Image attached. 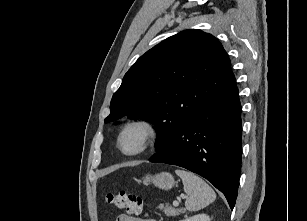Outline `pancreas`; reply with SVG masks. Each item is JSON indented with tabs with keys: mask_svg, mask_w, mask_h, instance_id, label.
<instances>
[{
	"mask_svg": "<svg viewBox=\"0 0 307 221\" xmlns=\"http://www.w3.org/2000/svg\"><path fill=\"white\" fill-rule=\"evenodd\" d=\"M159 209L163 210V212L166 214V216H177L180 213H185V209L181 208V209H176V208H172L171 206H164L163 204L159 205Z\"/></svg>",
	"mask_w": 307,
	"mask_h": 221,
	"instance_id": "obj_1",
	"label": "pancreas"
}]
</instances>
